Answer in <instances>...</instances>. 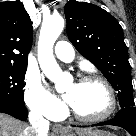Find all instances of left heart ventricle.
Here are the masks:
<instances>
[{
  "instance_id": "1",
  "label": "left heart ventricle",
  "mask_w": 136,
  "mask_h": 136,
  "mask_svg": "<svg viewBox=\"0 0 136 136\" xmlns=\"http://www.w3.org/2000/svg\"><path fill=\"white\" fill-rule=\"evenodd\" d=\"M66 92L72 98L71 106L81 115L97 116L108 108V93L99 82H71L67 86Z\"/></svg>"
}]
</instances>
